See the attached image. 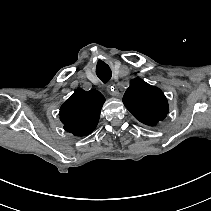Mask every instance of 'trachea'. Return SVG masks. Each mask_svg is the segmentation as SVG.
<instances>
[{
    "mask_svg": "<svg viewBox=\"0 0 211 211\" xmlns=\"http://www.w3.org/2000/svg\"><path fill=\"white\" fill-rule=\"evenodd\" d=\"M111 70L109 67H101L97 69V76L102 80V82L106 83L111 78Z\"/></svg>",
    "mask_w": 211,
    "mask_h": 211,
    "instance_id": "obj_1",
    "label": "trachea"
}]
</instances>
